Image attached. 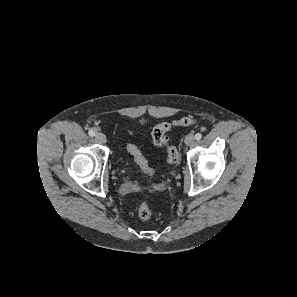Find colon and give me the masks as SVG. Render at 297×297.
Listing matches in <instances>:
<instances>
[{"mask_svg":"<svg viewBox=\"0 0 297 297\" xmlns=\"http://www.w3.org/2000/svg\"><path fill=\"white\" fill-rule=\"evenodd\" d=\"M193 123V119L183 117L171 122H161L156 125L152 131L153 143L157 147H165L167 151V159L171 164H176L179 161V153L177 149L169 144L166 133L175 126H189ZM127 151L134 157L139 166L148 174L153 175L154 172L149 166L147 160L141 154L140 150L133 144L127 146ZM153 210L148 202H142L138 208V215L143 220L151 218Z\"/></svg>","mask_w":297,"mask_h":297,"instance_id":"1","label":"colon"}]
</instances>
